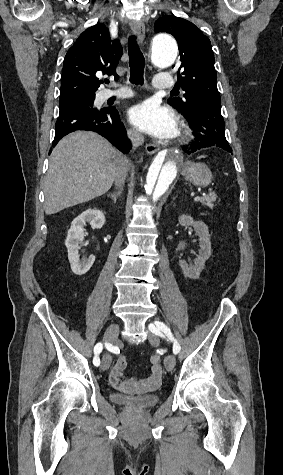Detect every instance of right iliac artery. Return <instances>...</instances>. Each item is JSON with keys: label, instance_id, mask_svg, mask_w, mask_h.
I'll return each mask as SVG.
<instances>
[{"label": "right iliac artery", "instance_id": "1", "mask_svg": "<svg viewBox=\"0 0 283 475\" xmlns=\"http://www.w3.org/2000/svg\"><path fill=\"white\" fill-rule=\"evenodd\" d=\"M103 349V345L101 343H97L94 347V354H95V357L93 359V364L95 366H99L100 365V359L98 357V355L101 353Z\"/></svg>", "mask_w": 283, "mask_h": 475}]
</instances>
